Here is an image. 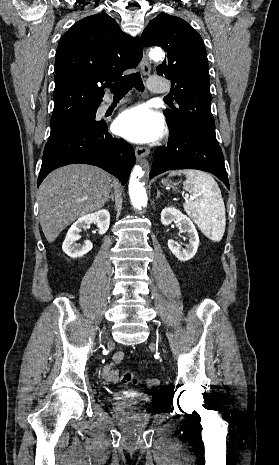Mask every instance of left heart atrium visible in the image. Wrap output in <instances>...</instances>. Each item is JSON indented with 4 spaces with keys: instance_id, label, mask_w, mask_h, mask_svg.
<instances>
[{
    "instance_id": "obj_1",
    "label": "left heart atrium",
    "mask_w": 279,
    "mask_h": 465,
    "mask_svg": "<svg viewBox=\"0 0 279 465\" xmlns=\"http://www.w3.org/2000/svg\"><path fill=\"white\" fill-rule=\"evenodd\" d=\"M115 130L135 143H149L163 133L162 116L147 105H137L122 112L115 121Z\"/></svg>"
}]
</instances>
